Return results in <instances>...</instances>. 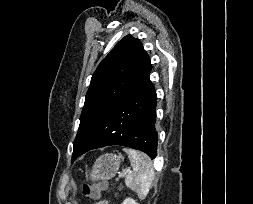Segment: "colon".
Instances as JSON below:
<instances>
[{
	"mask_svg": "<svg viewBox=\"0 0 253 204\" xmlns=\"http://www.w3.org/2000/svg\"><path fill=\"white\" fill-rule=\"evenodd\" d=\"M103 188L102 183L92 182L81 187V194L88 199H97Z\"/></svg>",
	"mask_w": 253,
	"mask_h": 204,
	"instance_id": "obj_1",
	"label": "colon"
}]
</instances>
